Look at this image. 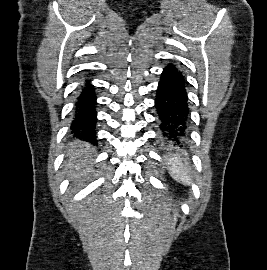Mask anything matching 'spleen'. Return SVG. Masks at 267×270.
<instances>
[{
	"label": "spleen",
	"mask_w": 267,
	"mask_h": 270,
	"mask_svg": "<svg viewBox=\"0 0 267 270\" xmlns=\"http://www.w3.org/2000/svg\"><path fill=\"white\" fill-rule=\"evenodd\" d=\"M168 165L170 174L176 181L184 185L190 184L191 176L189 174V169L187 168V164L179 154H174L169 159Z\"/></svg>",
	"instance_id": "obj_1"
}]
</instances>
